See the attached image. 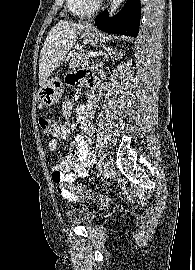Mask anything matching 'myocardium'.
Returning <instances> with one entry per match:
<instances>
[{
    "label": "myocardium",
    "mask_w": 195,
    "mask_h": 270,
    "mask_svg": "<svg viewBox=\"0 0 195 270\" xmlns=\"http://www.w3.org/2000/svg\"><path fill=\"white\" fill-rule=\"evenodd\" d=\"M93 1L95 2L96 9H97L102 0H93Z\"/></svg>",
    "instance_id": "obj_1"
}]
</instances>
